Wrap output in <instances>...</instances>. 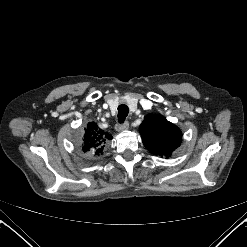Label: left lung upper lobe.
<instances>
[{"instance_id": "1", "label": "left lung upper lobe", "mask_w": 247, "mask_h": 247, "mask_svg": "<svg viewBox=\"0 0 247 247\" xmlns=\"http://www.w3.org/2000/svg\"><path fill=\"white\" fill-rule=\"evenodd\" d=\"M139 130L144 146L155 155H170L180 146L181 131L161 115H146Z\"/></svg>"}]
</instances>
